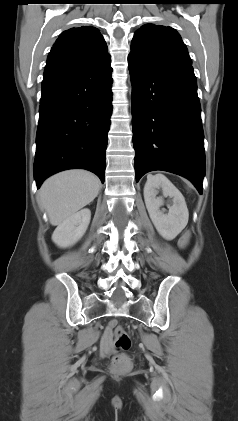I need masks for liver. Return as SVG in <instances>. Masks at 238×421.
I'll use <instances>...</instances> for the list:
<instances>
[{
	"instance_id": "liver-1",
	"label": "liver",
	"mask_w": 238,
	"mask_h": 421,
	"mask_svg": "<svg viewBox=\"0 0 238 421\" xmlns=\"http://www.w3.org/2000/svg\"><path fill=\"white\" fill-rule=\"evenodd\" d=\"M101 183L85 170H68L48 178L39 191L40 206L50 223L60 225L98 195Z\"/></svg>"
}]
</instances>
